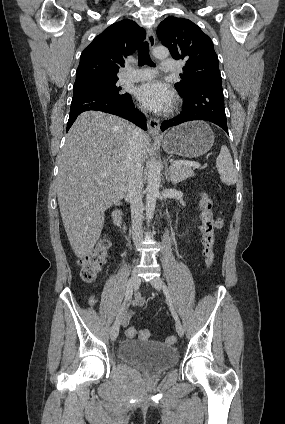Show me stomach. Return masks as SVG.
<instances>
[{"label": "stomach", "instance_id": "0dacf381", "mask_svg": "<svg viewBox=\"0 0 285 424\" xmlns=\"http://www.w3.org/2000/svg\"><path fill=\"white\" fill-rule=\"evenodd\" d=\"M214 143L211 127L193 121L172 128L164 137L163 148L169 154L195 158L207 153Z\"/></svg>", "mask_w": 285, "mask_h": 424}]
</instances>
